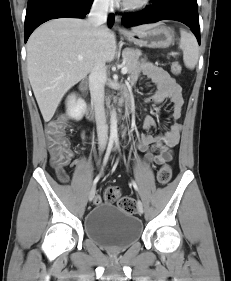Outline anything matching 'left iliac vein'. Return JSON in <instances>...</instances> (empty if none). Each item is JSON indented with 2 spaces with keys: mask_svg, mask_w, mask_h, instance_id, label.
Here are the masks:
<instances>
[{
  "mask_svg": "<svg viewBox=\"0 0 231 281\" xmlns=\"http://www.w3.org/2000/svg\"><path fill=\"white\" fill-rule=\"evenodd\" d=\"M137 207H138L139 213L142 214L144 209H143V204H142V202L140 200L137 202Z\"/></svg>",
  "mask_w": 231,
  "mask_h": 281,
  "instance_id": "4c4485c4",
  "label": "left iliac vein"
}]
</instances>
